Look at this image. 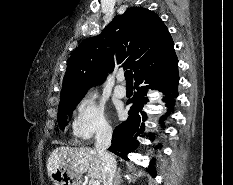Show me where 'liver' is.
Returning <instances> with one entry per match:
<instances>
[{
    "mask_svg": "<svg viewBox=\"0 0 233 185\" xmlns=\"http://www.w3.org/2000/svg\"><path fill=\"white\" fill-rule=\"evenodd\" d=\"M53 166H61L78 175L88 173L93 179H102V160L96 149L89 147L69 148L61 146L53 150L47 160L48 176H51Z\"/></svg>",
    "mask_w": 233,
    "mask_h": 185,
    "instance_id": "obj_1",
    "label": "liver"
}]
</instances>
